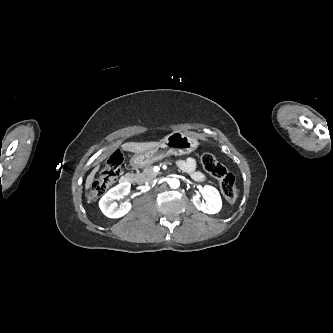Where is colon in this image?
<instances>
[{
	"mask_svg": "<svg viewBox=\"0 0 333 333\" xmlns=\"http://www.w3.org/2000/svg\"><path fill=\"white\" fill-rule=\"evenodd\" d=\"M123 152L118 149L108 158L104 169L96 178L89 189L88 198L94 202L99 199L117 180L120 174V166L123 162ZM201 163L204 169L218 182L225 199L233 204L238 198V189L235 185V177L212 153L204 152L201 155Z\"/></svg>",
	"mask_w": 333,
	"mask_h": 333,
	"instance_id": "obj_1",
	"label": "colon"
}]
</instances>
